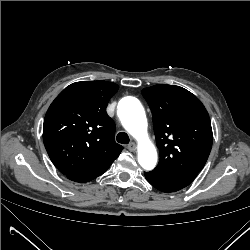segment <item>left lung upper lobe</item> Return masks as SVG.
Instances as JSON below:
<instances>
[{
	"label": "left lung upper lobe",
	"instance_id": "left-lung-upper-lobe-1",
	"mask_svg": "<svg viewBox=\"0 0 250 250\" xmlns=\"http://www.w3.org/2000/svg\"><path fill=\"white\" fill-rule=\"evenodd\" d=\"M152 111L160 160L154 171H201L210 154L213 135L207 110L188 90L158 84L142 90Z\"/></svg>",
	"mask_w": 250,
	"mask_h": 250
}]
</instances>
